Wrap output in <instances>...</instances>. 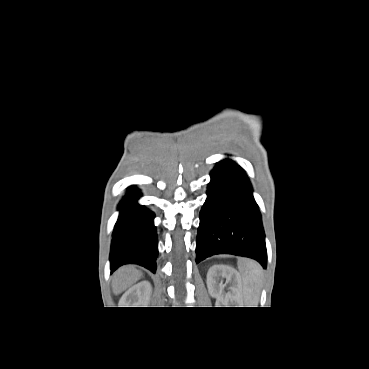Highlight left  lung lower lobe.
Here are the masks:
<instances>
[{
    "label": "left lung lower lobe",
    "instance_id": "left-lung-lower-lobe-1",
    "mask_svg": "<svg viewBox=\"0 0 369 369\" xmlns=\"http://www.w3.org/2000/svg\"><path fill=\"white\" fill-rule=\"evenodd\" d=\"M210 176L200 212L196 263L225 253L253 258L265 268V233L248 177L228 159L218 162Z\"/></svg>",
    "mask_w": 369,
    "mask_h": 369
}]
</instances>
